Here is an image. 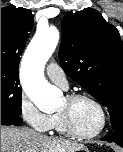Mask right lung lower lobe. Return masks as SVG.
Wrapping results in <instances>:
<instances>
[{
	"mask_svg": "<svg viewBox=\"0 0 123 152\" xmlns=\"http://www.w3.org/2000/svg\"><path fill=\"white\" fill-rule=\"evenodd\" d=\"M22 122V119L17 115L1 113V125H13L19 124Z\"/></svg>",
	"mask_w": 123,
	"mask_h": 152,
	"instance_id": "98d812e1",
	"label": "right lung lower lobe"
}]
</instances>
